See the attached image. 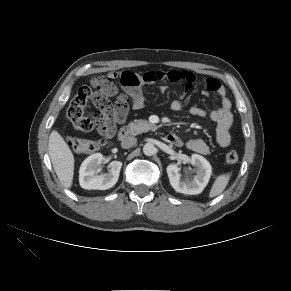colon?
Returning a JSON list of instances; mask_svg holds the SVG:
<instances>
[{
  "label": "colon",
  "mask_w": 291,
  "mask_h": 291,
  "mask_svg": "<svg viewBox=\"0 0 291 291\" xmlns=\"http://www.w3.org/2000/svg\"><path fill=\"white\" fill-rule=\"evenodd\" d=\"M210 84L212 86L215 85L213 81H211ZM110 85V82L102 77L97 84L82 86L78 89L67 110L68 119L77 132L88 133L91 132L95 126L100 125L101 110L107 104L105 93ZM89 103H92L96 108L93 117H89L85 113L86 106ZM67 143L75 153L79 154L94 152L102 146L101 141L81 139L72 136L67 138ZM238 158V154L234 150L226 152L224 156V160L227 164H235Z\"/></svg>",
  "instance_id": "5ec220e1"
}]
</instances>
